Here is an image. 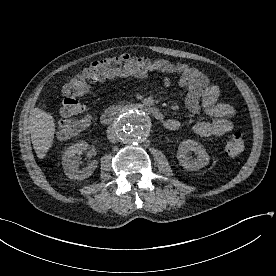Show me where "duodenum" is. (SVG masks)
I'll return each mask as SVG.
<instances>
[{"mask_svg":"<svg viewBox=\"0 0 276 276\" xmlns=\"http://www.w3.org/2000/svg\"><path fill=\"white\" fill-rule=\"evenodd\" d=\"M125 109H136V110L145 111L146 113L150 114L151 116H153L155 119L159 121L164 120V115L158 107L153 105H146L143 103L111 106L103 111V113L101 114L100 120L103 124H107V125L111 124L117 119L120 112H122Z\"/></svg>","mask_w":276,"mask_h":276,"instance_id":"1","label":"duodenum"}]
</instances>
